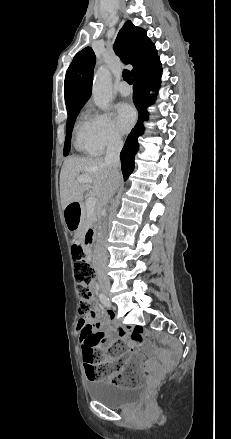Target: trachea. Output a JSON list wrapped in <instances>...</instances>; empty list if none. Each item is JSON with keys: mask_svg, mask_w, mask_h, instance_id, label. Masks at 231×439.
<instances>
[{"mask_svg": "<svg viewBox=\"0 0 231 439\" xmlns=\"http://www.w3.org/2000/svg\"><path fill=\"white\" fill-rule=\"evenodd\" d=\"M123 79L128 83V84H133V78L131 75V72L129 70H123Z\"/></svg>", "mask_w": 231, "mask_h": 439, "instance_id": "3493384b", "label": "trachea"}]
</instances>
